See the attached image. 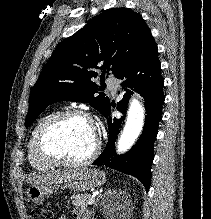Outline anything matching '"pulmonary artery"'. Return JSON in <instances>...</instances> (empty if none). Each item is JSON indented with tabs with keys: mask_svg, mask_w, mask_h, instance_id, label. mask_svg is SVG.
I'll use <instances>...</instances> for the list:
<instances>
[{
	"mask_svg": "<svg viewBox=\"0 0 211 219\" xmlns=\"http://www.w3.org/2000/svg\"><path fill=\"white\" fill-rule=\"evenodd\" d=\"M107 87L113 92L115 93L117 91V87H118V82L116 79L114 78H108L107 79Z\"/></svg>",
	"mask_w": 211,
	"mask_h": 219,
	"instance_id": "1",
	"label": "pulmonary artery"
}]
</instances>
